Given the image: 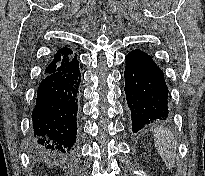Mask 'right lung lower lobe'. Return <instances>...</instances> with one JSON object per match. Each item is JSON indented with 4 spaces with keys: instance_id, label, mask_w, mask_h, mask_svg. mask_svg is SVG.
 <instances>
[{
    "instance_id": "obj_1",
    "label": "right lung lower lobe",
    "mask_w": 205,
    "mask_h": 176,
    "mask_svg": "<svg viewBox=\"0 0 205 176\" xmlns=\"http://www.w3.org/2000/svg\"><path fill=\"white\" fill-rule=\"evenodd\" d=\"M80 81L76 55L44 74L32 113V147L37 152L65 155L76 152Z\"/></svg>"
}]
</instances>
